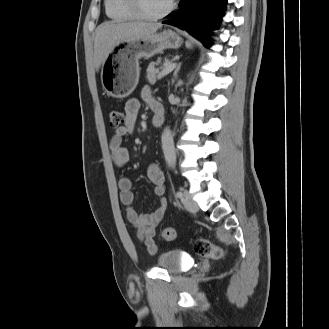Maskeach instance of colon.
I'll return each mask as SVG.
<instances>
[{
    "label": "colon",
    "instance_id": "1",
    "mask_svg": "<svg viewBox=\"0 0 329 329\" xmlns=\"http://www.w3.org/2000/svg\"><path fill=\"white\" fill-rule=\"evenodd\" d=\"M110 125L114 128H119L125 123V115L119 109H112L109 113ZM175 229L173 227H166L162 230V238L165 241H172L175 238ZM194 252L204 258H212L219 260L223 258L224 252L221 248L215 246L207 238H197L193 241Z\"/></svg>",
    "mask_w": 329,
    "mask_h": 329
}]
</instances>
